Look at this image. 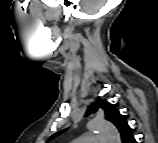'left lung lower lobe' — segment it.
Wrapping results in <instances>:
<instances>
[{
    "mask_svg": "<svg viewBox=\"0 0 158 143\" xmlns=\"http://www.w3.org/2000/svg\"><path fill=\"white\" fill-rule=\"evenodd\" d=\"M135 142H136V141H135L133 135L128 136V137L123 141V143H135Z\"/></svg>",
    "mask_w": 158,
    "mask_h": 143,
    "instance_id": "left-lung-lower-lobe-1",
    "label": "left lung lower lobe"
}]
</instances>
